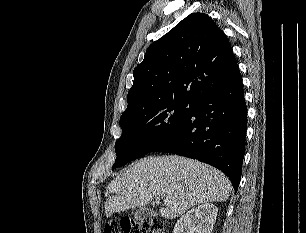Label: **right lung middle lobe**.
<instances>
[{
  "mask_svg": "<svg viewBox=\"0 0 306 233\" xmlns=\"http://www.w3.org/2000/svg\"><path fill=\"white\" fill-rule=\"evenodd\" d=\"M197 104L185 99L159 100L120 117L123 134L115 143L112 169L142 157L164 142Z\"/></svg>",
  "mask_w": 306,
  "mask_h": 233,
  "instance_id": "obj_1",
  "label": "right lung middle lobe"
}]
</instances>
